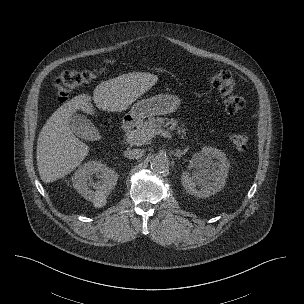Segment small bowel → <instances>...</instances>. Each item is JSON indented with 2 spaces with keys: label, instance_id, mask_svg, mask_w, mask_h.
<instances>
[{
  "label": "small bowel",
  "instance_id": "c3829d8e",
  "mask_svg": "<svg viewBox=\"0 0 304 304\" xmlns=\"http://www.w3.org/2000/svg\"><path fill=\"white\" fill-rule=\"evenodd\" d=\"M104 63H106V64H113L114 60L113 59H107V60H104Z\"/></svg>",
  "mask_w": 304,
  "mask_h": 304
}]
</instances>
